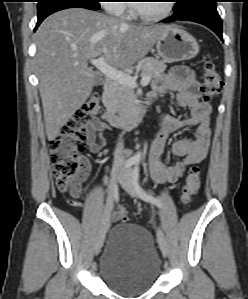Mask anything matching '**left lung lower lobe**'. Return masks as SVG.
I'll return each mask as SVG.
<instances>
[{
    "mask_svg": "<svg viewBox=\"0 0 248 299\" xmlns=\"http://www.w3.org/2000/svg\"><path fill=\"white\" fill-rule=\"evenodd\" d=\"M216 2L205 1L191 5L186 10H182L177 4L174 7V14L171 17L162 20V22L167 23L175 20L197 22L210 28L222 40V21L216 10Z\"/></svg>",
    "mask_w": 248,
    "mask_h": 299,
    "instance_id": "left-lung-lower-lobe-1",
    "label": "left lung lower lobe"
}]
</instances>
